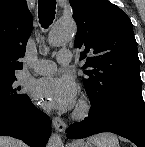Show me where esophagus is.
Here are the masks:
<instances>
[{
  "label": "esophagus",
  "mask_w": 145,
  "mask_h": 147,
  "mask_svg": "<svg viewBox=\"0 0 145 147\" xmlns=\"http://www.w3.org/2000/svg\"><path fill=\"white\" fill-rule=\"evenodd\" d=\"M52 124L55 130L61 133L65 132L67 128L66 123L60 117H53Z\"/></svg>",
  "instance_id": "esophagus-1"
}]
</instances>
